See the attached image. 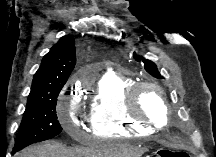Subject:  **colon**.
I'll return each mask as SVG.
<instances>
[{
    "label": "colon",
    "mask_w": 216,
    "mask_h": 157,
    "mask_svg": "<svg viewBox=\"0 0 216 157\" xmlns=\"http://www.w3.org/2000/svg\"><path fill=\"white\" fill-rule=\"evenodd\" d=\"M154 157H189V154L184 150L161 148L156 152Z\"/></svg>",
    "instance_id": "5ec220e1"
}]
</instances>
